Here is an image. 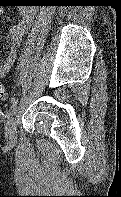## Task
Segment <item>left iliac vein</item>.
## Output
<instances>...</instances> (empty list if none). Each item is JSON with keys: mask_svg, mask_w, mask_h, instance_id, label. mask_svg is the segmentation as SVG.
Instances as JSON below:
<instances>
[{"mask_svg": "<svg viewBox=\"0 0 121 197\" xmlns=\"http://www.w3.org/2000/svg\"><path fill=\"white\" fill-rule=\"evenodd\" d=\"M16 118L14 116L10 117L6 125V140L9 144H14L16 142Z\"/></svg>", "mask_w": 121, "mask_h": 197, "instance_id": "left-iliac-vein-1", "label": "left iliac vein"}]
</instances>
